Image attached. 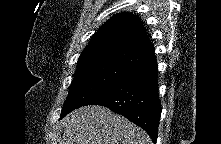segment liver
Listing matches in <instances>:
<instances>
[{"label": "liver", "instance_id": "1", "mask_svg": "<svg viewBox=\"0 0 221 144\" xmlns=\"http://www.w3.org/2000/svg\"><path fill=\"white\" fill-rule=\"evenodd\" d=\"M63 144H152L148 134L102 106H84L62 120Z\"/></svg>", "mask_w": 221, "mask_h": 144}]
</instances>
